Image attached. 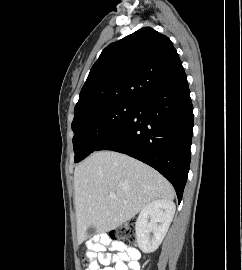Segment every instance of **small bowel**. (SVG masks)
I'll return each instance as SVG.
<instances>
[{"label": "small bowel", "instance_id": "c3829d8e", "mask_svg": "<svg viewBox=\"0 0 242 270\" xmlns=\"http://www.w3.org/2000/svg\"><path fill=\"white\" fill-rule=\"evenodd\" d=\"M115 253L105 252L106 247ZM93 257L87 270H140L138 249L111 241L106 235L96 236L88 245Z\"/></svg>", "mask_w": 242, "mask_h": 270}]
</instances>
